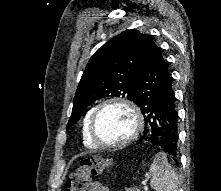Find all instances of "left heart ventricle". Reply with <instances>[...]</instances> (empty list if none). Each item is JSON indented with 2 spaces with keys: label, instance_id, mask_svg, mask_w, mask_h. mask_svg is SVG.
<instances>
[{
  "label": "left heart ventricle",
  "instance_id": "left-heart-ventricle-1",
  "mask_svg": "<svg viewBox=\"0 0 221 191\" xmlns=\"http://www.w3.org/2000/svg\"><path fill=\"white\" fill-rule=\"evenodd\" d=\"M133 124L129 110L120 105H111L101 110L96 122V133L103 142L117 143L131 133Z\"/></svg>",
  "mask_w": 221,
  "mask_h": 191
}]
</instances>
